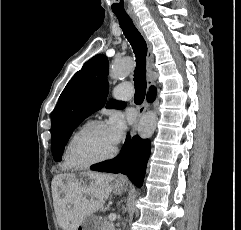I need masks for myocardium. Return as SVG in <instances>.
Returning <instances> with one entry per match:
<instances>
[{
	"label": "myocardium",
	"instance_id": "myocardium-1",
	"mask_svg": "<svg viewBox=\"0 0 241 230\" xmlns=\"http://www.w3.org/2000/svg\"><path fill=\"white\" fill-rule=\"evenodd\" d=\"M103 126H106V124L103 121L93 120V121H90V122L86 123L85 125H83L80 129H78L73 134V136L71 137V139L68 143V146H67V159L73 168L82 169V168L91 167V166H94L97 164L108 162L117 156L119 149L116 146L111 153H109L108 155H106L104 157L98 158V159L90 160L87 162H77L74 158L73 151H74L75 144L77 143L79 138L83 134H85L87 131H89L93 128H96V127H103Z\"/></svg>",
	"mask_w": 241,
	"mask_h": 230
}]
</instances>
